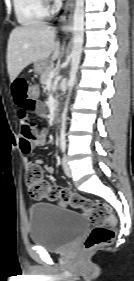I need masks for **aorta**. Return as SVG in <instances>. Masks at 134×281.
Listing matches in <instances>:
<instances>
[{
    "mask_svg": "<svg viewBox=\"0 0 134 281\" xmlns=\"http://www.w3.org/2000/svg\"><path fill=\"white\" fill-rule=\"evenodd\" d=\"M72 33H73V48L71 52V69L69 72V80H68V96L65 101V106L61 117L60 132L62 137L65 136L69 99L76 81V75H77L81 53H82L83 36H84V0H76L75 2Z\"/></svg>",
    "mask_w": 134,
    "mask_h": 281,
    "instance_id": "aorta-1",
    "label": "aorta"
}]
</instances>
